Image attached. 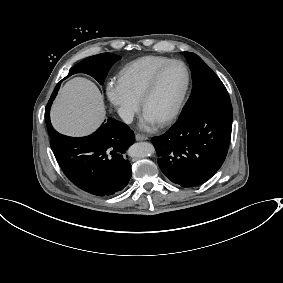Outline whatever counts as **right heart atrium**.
Masks as SVG:
<instances>
[{"mask_svg":"<svg viewBox=\"0 0 283 283\" xmlns=\"http://www.w3.org/2000/svg\"><path fill=\"white\" fill-rule=\"evenodd\" d=\"M106 96L122 120L128 122L136 112L139 104L125 91L119 79L112 78L106 84Z\"/></svg>","mask_w":283,"mask_h":283,"instance_id":"d8ad5b80","label":"right heart atrium"}]
</instances>
